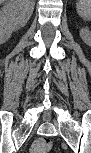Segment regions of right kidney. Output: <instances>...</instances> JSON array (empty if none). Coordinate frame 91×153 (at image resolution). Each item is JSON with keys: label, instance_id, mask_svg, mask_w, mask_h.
I'll return each instance as SVG.
<instances>
[{"label": "right kidney", "instance_id": "ca27d5eb", "mask_svg": "<svg viewBox=\"0 0 91 153\" xmlns=\"http://www.w3.org/2000/svg\"><path fill=\"white\" fill-rule=\"evenodd\" d=\"M28 0H9L0 11V42L5 43L13 31L26 25L30 19L34 5Z\"/></svg>", "mask_w": 91, "mask_h": 153}]
</instances>
